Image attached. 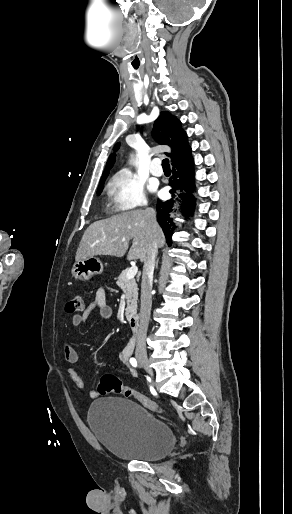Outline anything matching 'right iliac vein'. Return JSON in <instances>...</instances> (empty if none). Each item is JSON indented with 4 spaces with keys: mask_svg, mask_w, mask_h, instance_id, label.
Instances as JSON below:
<instances>
[{
    "mask_svg": "<svg viewBox=\"0 0 292 514\" xmlns=\"http://www.w3.org/2000/svg\"><path fill=\"white\" fill-rule=\"evenodd\" d=\"M138 362L139 364L148 372V374L153 377V371L149 365L148 359L144 355L138 356Z\"/></svg>",
    "mask_w": 292,
    "mask_h": 514,
    "instance_id": "obj_1",
    "label": "right iliac vein"
}]
</instances>
